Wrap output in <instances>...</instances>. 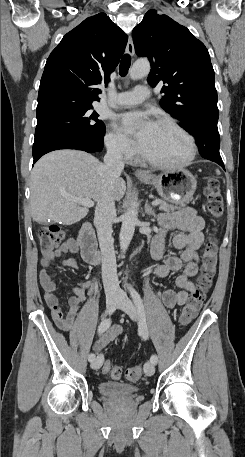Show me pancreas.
I'll use <instances>...</instances> for the list:
<instances>
[{
	"label": "pancreas",
	"mask_w": 245,
	"mask_h": 457,
	"mask_svg": "<svg viewBox=\"0 0 245 457\" xmlns=\"http://www.w3.org/2000/svg\"><path fill=\"white\" fill-rule=\"evenodd\" d=\"M159 200V210H175V208H179V206H185V202H172V204H170V202L161 200V198H159ZM186 202H189V200H186Z\"/></svg>",
	"instance_id": "pancreas-1"
}]
</instances>
